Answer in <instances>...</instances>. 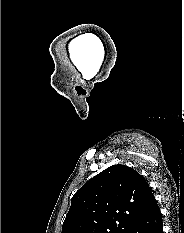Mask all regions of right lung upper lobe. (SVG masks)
<instances>
[{
  "label": "right lung upper lobe",
  "mask_w": 184,
  "mask_h": 233,
  "mask_svg": "<svg viewBox=\"0 0 184 233\" xmlns=\"http://www.w3.org/2000/svg\"><path fill=\"white\" fill-rule=\"evenodd\" d=\"M156 204L137 171L113 165L74 194L61 233H126Z\"/></svg>",
  "instance_id": "cb5924a9"
}]
</instances>
